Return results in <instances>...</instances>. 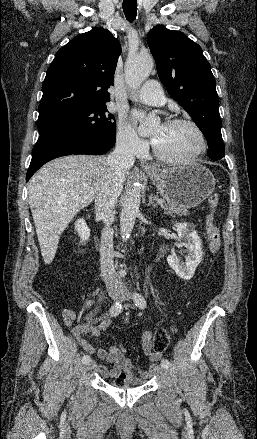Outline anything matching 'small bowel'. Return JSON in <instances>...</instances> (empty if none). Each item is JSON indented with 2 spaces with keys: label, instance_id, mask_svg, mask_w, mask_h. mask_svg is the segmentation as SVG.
<instances>
[{
  "label": "small bowel",
  "instance_id": "c3829d8e",
  "mask_svg": "<svg viewBox=\"0 0 257 439\" xmlns=\"http://www.w3.org/2000/svg\"><path fill=\"white\" fill-rule=\"evenodd\" d=\"M94 306L93 301H87L85 308L90 309ZM76 315L71 310L63 312V320L66 325H71ZM111 325V320L105 318L98 320L94 311H90L85 321L75 328V336L82 349L89 354H96L103 362L112 364L113 367L107 371L110 378L124 376L128 382L134 385H142L150 380L157 370V362L161 359V353L153 350L152 333L145 331L140 336V345L144 354L155 364L148 370L138 369L127 357V349L122 343L110 346L108 349L94 347L86 338L87 335L99 336ZM93 368H99L95 361H92Z\"/></svg>",
  "mask_w": 257,
  "mask_h": 439
}]
</instances>
